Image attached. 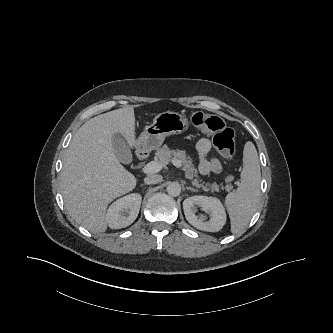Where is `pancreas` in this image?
Listing matches in <instances>:
<instances>
[{"label":"pancreas","mask_w":333,"mask_h":333,"mask_svg":"<svg viewBox=\"0 0 333 333\" xmlns=\"http://www.w3.org/2000/svg\"><path fill=\"white\" fill-rule=\"evenodd\" d=\"M155 158L158 159L160 162H162L164 165L168 164L173 158H176L181 161V163L184 165L183 170L185 171L186 178L192 180V184L198 188H202L204 191L211 190L212 192H218L221 189H225L226 191H230L232 189V186L230 184H227L225 187L218 185L216 182H213L212 184L207 183L204 185V183H201V180L198 176V171L195 168L192 159L186 155V151L183 150H171L166 145L163 147L157 149L155 153ZM227 182L230 181V179H226Z\"/></svg>","instance_id":"obj_1"}]
</instances>
